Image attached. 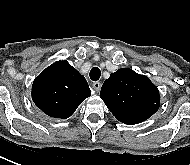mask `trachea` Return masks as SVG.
I'll return each mask as SVG.
<instances>
[{
	"instance_id": "obj_1",
	"label": "trachea",
	"mask_w": 190,
	"mask_h": 165,
	"mask_svg": "<svg viewBox=\"0 0 190 165\" xmlns=\"http://www.w3.org/2000/svg\"><path fill=\"white\" fill-rule=\"evenodd\" d=\"M91 80L93 81H97L99 80L100 76H101V71L98 67H93L90 71V74H89Z\"/></svg>"
}]
</instances>
